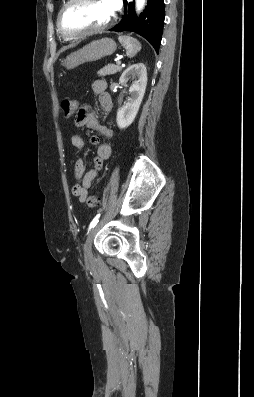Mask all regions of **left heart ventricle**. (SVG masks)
Listing matches in <instances>:
<instances>
[{
    "label": "left heart ventricle",
    "mask_w": 254,
    "mask_h": 397,
    "mask_svg": "<svg viewBox=\"0 0 254 397\" xmlns=\"http://www.w3.org/2000/svg\"><path fill=\"white\" fill-rule=\"evenodd\" d=\"M112 13L106 0H77L65 11L62 24L68 32H79L105 24Z\"/></svg>",
    "instance_id": "b2bd125f"
}]
</instances>
